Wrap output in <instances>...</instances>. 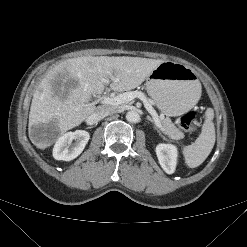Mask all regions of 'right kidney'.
Here are the masks:
<instances>
[{
    "mask_svg": "<svg viewBox=\"0 0 247 247\" xmlns=\"http://www.w3.org/2000/svg\"><path fill=\"white\" fill-rule=\"evenodd\" d=\"M89 139V133L84 130L65 133L56 141L53 157L56 160H73L82 153ZM73 140H75L74 143H72Z\"/></svg>",
    "mask_w": 247,
    "mask_h": 247,
    "instance_id": "obj_1",
    "label": "right kidney"
}]
</instances>
